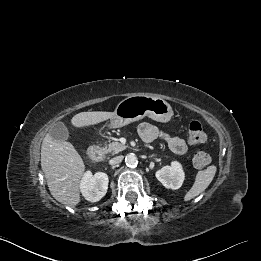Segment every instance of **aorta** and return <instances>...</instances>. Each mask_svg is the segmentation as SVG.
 Instances as JSON below:
<instances>
[{"instance_id":"1","label":"aorta","mask_w":261,"mask_h":261,"mask_svg":"<svg viewBox=\"0 0 261 261\" xmlns=\"http://www.w3.org/2000/svg\"><path fill=\"white\" fill-rule=\"evenodd\" d=\"M125 163L128 167H136L138 159L134 153H128L125 157Z\"/></svg>"}]
</instances>
